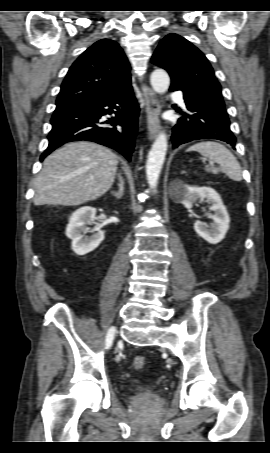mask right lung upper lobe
Listing matches in <instances>:
<instances>
[{"label": "right lung upper lobe", "mask_w": 270, "mask_h": 453, "mask_svg": "<svg viewBox=\"0 0 270 453\" xmlns=\"http://www.w3.org/2000/svg\"><path fill=\"white\" fill-rule=\"evenodd\" d=\"M130 82V65L123 50L115 41L102 39L72 64L56 105L99 99Z\"/></svg>", "instance_id": "1"}]
</instances>
